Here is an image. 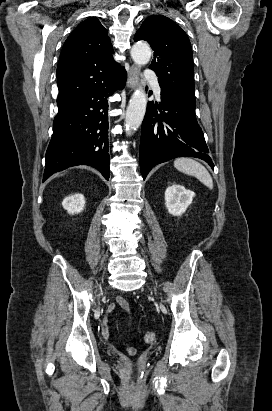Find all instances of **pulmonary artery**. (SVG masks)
<instances>
[{"mask_svg":"<svg viewBox=\"0 0 272 411\" xmlns=\"http://www.w3.org/2000/svg\"><path fill=\"white\" fill-rule=\"evenodd\" d=\"M143 76L145 80L153 82L156 94L160 95V87L157 83V76L155 71L148 69L144 72Z\"/></svg>","mask_w":272,"mask_h":411,"instance_id":"e3ab8cb5","label":"pulmonary artery"}]
</instances>
